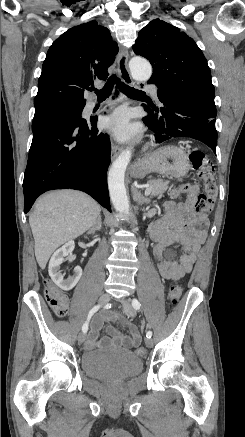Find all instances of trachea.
<instances>
[{"label":"trachea","instance_id":"1","mask_svg":"<svg viewBox=\"0 0 245 437\" xmlns=\"http://www.w3.org/2000/svg\"><path fill=\"white\" fill-rule=\"evenodd\" d=\"M115 84L117 85V87L119 88V90L121 92H123L125 95H127L129 97L145 95V92L134 89V88L124 84L123 82L120 81V79L116 75H112L109 77V79L107 80L106 84L104 85V87L102 89H100V90L94 89L97 97L98 98L109 97ZM92 90L93 89H91V91Z\"/></svg>","mask_w":245,"mask_h":437}]
</instances>
